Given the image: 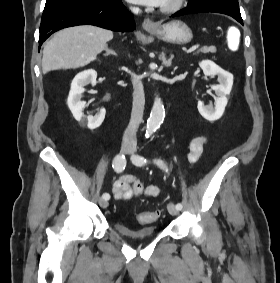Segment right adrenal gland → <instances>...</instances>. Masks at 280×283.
Masks as SVG:
<instances>
[{
	"label": "right adrenal gland",
	"instance_id": "obj_1",
	"mask_svg": "<svg viewBox=\"0 0 280 283\" xmlns=\"http://www.w3.org/2000/svg\"><path fill=\"white\" fill-rule=\"evenodd\" d=\"M105 51H106V53L104 54L105 56H108V55L117 56V53H116L114 50L110 49V48L108 47V45H106Z\"/></svg>",
	"mask_w": 280,
	"mask_h": 283
}]
</instances>
